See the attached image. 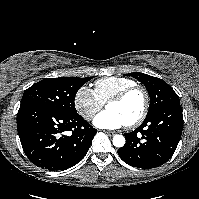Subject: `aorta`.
Listing matches in <instances>:
<instances>
[{
    "label": "aorta",
    "instance_id": "obj_1",
    "mask_svg": "<svg viewBox=\"0 0 199 199\" xmlns=\"http://www.w3.org/2000/svg\"><path fill=\"white\" fill-rule=\"evenodd\" d=\"M112 142L115 147H123L125 145V137L123 135H115Z\"/></svg>",
    "mask_w": 199,
    "mask_h": 199
}]
</instances>
